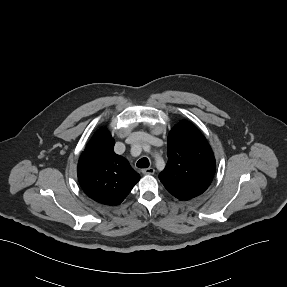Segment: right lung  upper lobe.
<instances>
[{
    "label": "right lung upper lobe",
    "mask_w": 287,
    "mask_h": 287,
    "mask_svg": "<svg viewBox=\"0 0 287 287\" xmlns=\"http://www.w3.org/2000/svg\"><path fill=\"white\" fill-rule=\"evenodd\" d=\"M115 141L106 128L91 138L78 163V180L93 200L118 205L139 181L128 161L114 152Z\"/></svg>",
    "instance_id": "cb5924a9"
}]
</instances>
